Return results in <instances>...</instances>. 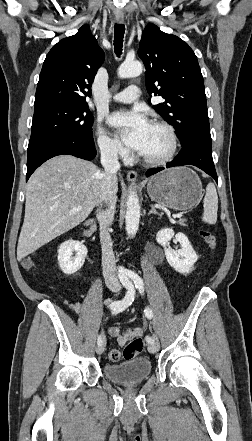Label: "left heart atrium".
<instances>
[{
  "instance_id": "obj_1",
  "label": "left heart atrium",
  "mask_w": 252,
  "mask_h": 441,
  "mask_svg": "<svg viewBox=\"0 0 252 441\" xmlns=\"http://www.w3.org/2000/svg\"><path fill=\"white\" fill-rule=\"evenodd\" d=\"M109 124L128 147L142 153L152 125L141 111L113 113L109 117Z\"/></svg>"
}]
</instances>
